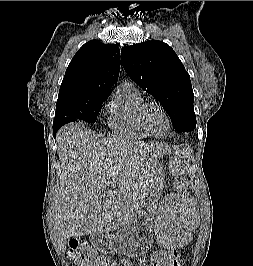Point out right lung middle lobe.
Here are the masks:
<instances>
[{"label":"right lung middle lobe","instance_id":"obj_1","mask_svg":"<svg viewBox=\"0 0 253 266\" xmlns=\"http://www.w3.org/2000/svg\"><path fill=\"white\" fill-rule=\"evenodd\" d=\"M109 94H101L84 101L57 102L53 126H63L78 119L94 123Z\"/></svg>","mask_w":253,"mask_h":266}]
</instances>
